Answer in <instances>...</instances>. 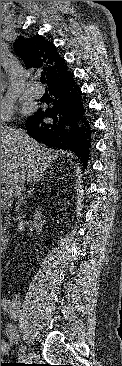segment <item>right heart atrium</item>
Returning <instances> with one entry per match:
<instances>
[{"instance_id":"right-heart-atrium-1","label":"right heart atrium","mask_w":122,"mask_h":366,"mask_svg":"<svg viewBox=\"0 0 122 366\" xmlns=\"http://www.w3.org/2000/svg\"><path fill=\"white\" fill-rule=\"evenodd\" d=\"M15 113V106L11 99L1 94V125L9 121Z\"/></svg>"}]
</instances>
